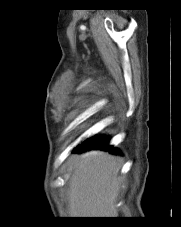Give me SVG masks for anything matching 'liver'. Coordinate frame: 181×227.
<instances>
[{
  "label": "liver",
  "mask_w": 181,
  "mask_h": 227,
  "mask_svg": "<svg viewBox=\"0 0 181 227\" xmlns=\"http://www.w3.org/2000/svg\"><path fill=\"white\" fill-rule=\"evenodd\" d=\"M122 162L99 150L72 156L68 191L70 217H117Z\"/></svg>",
  "instance_id": "obj_1"
}]
</instances>
